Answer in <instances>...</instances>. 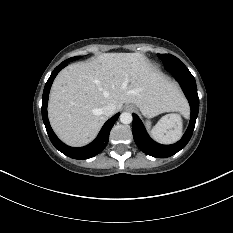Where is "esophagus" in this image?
Instances as JSON below:
<instances>
[{"label":"esophagus","mask_w":233,"mask_h":233,"mask_svg":"<svg viewBox=\"0 0 233 233\" xmlns=\"http://www.w3.org/2000/svg\"><path fill=\"white\" fill-rule=\"evenodd\" d=\"M125 109H126L127 111H131V110L133 109V107H132L131 105H126Z\"/></svg>","instance_id":"1"}]
</instances>
